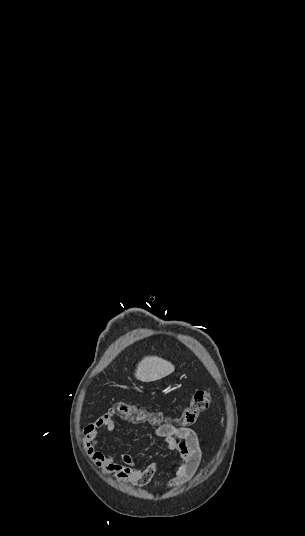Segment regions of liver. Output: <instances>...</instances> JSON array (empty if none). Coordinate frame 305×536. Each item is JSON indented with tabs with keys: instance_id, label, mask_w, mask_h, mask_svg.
Instances as JSON below:
<instances>
[{
	"instance_id": "obj_1",
	"label": "liver",
	"mask_w": 305,
	"mask_h": 536,
	"mask_svg": "<svg viewBox=\"0 0 305 536\" xmlns=\"http://www.w3.org/2000/svg\"><path fill=\"white\" fill-rule=\"evenodd\" d=\"M175 368L171 362L157 358V356H146L137 366L134 374L140 382H156L161 378H166L174 372Z\"/></svg>"
}]
</instances>
